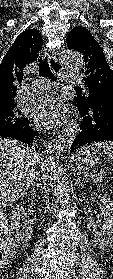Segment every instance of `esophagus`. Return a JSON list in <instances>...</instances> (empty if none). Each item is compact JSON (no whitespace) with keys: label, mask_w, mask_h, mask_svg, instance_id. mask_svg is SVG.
I'll list each match as a JSON object with an SVG mask.
<instances>
[{"label":"esophagus","mask_w":113,"mask_h":279,"mask_svg":"<svg viewBox=\"0 0 113 279\" xmlns=\"http://www.w3.org/2000/svg\"><path fill=\"white\" fill-rule=\"evenodd\" d=\"M45 53L48 57V61H49V65L50 68L52 69L53 72L55 73H61L63 70V66L60 62H58L57 58H56V52L54 49L52 48H47L45 49ZM69 127H73L74 128V132L73 134L70 136V138L68 139L67 143H66V148H69L72 142L73 137H75V134L78 130V124L76 122H72L68 125Z\"/></svg>","instance_id":"1"}]
</instances>
